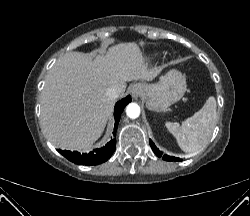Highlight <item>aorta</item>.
I'll list each match as a JSON object with an SVG mask.
<instances>
[{
  "mask_svg": "<svg viewBox=\"0 0 250 216\" xmlns=\"http://www.w3.org/2000/svg\"><path fill=\"white\" fill-rule=\"evenodd\" d=\"M126 114L129 118L135 119L140 115V107L136 103H130L126 107Z\"/></svg>",
  "mask_w": 250,
  "mask_h": 216,
  "instance_id": "762f6f07",
  "label": "aorta"
}]
</instances>
